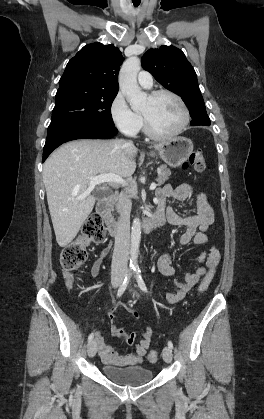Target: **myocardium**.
<instances>
[{
  "label": "myocardium",
  "mask_w": 264,
  "mask_h": 419,
  "mask_svg": "<svg viewBox=\"0 0 264 419\" xmlns=\"http://www.w3.org/2000/svg\"><path fill=\"white\" fill-rule=\"evenodd\" d=\"M163 95L171 96L172 98H174L178 102V104H179V106L181 107V110H182L183 120H182V123L180 124V126L178 127V129H176L174 132L169 133V134H159L154 130L148 116L146 114L142 113L143 120H144L145 131H146L147 135L151 139L157 140V141H168V140L174 139L175 137L180 135L186 129V127L189 124V120H190V114H189V110L187 108V105L184 102V100L177 93H175L171 90H168V89H158V90L152 91L149 94V98L156 99V98H158L160 96H163Z\"/></svg>",
  "instance_id": "1"
}]
</instances>
